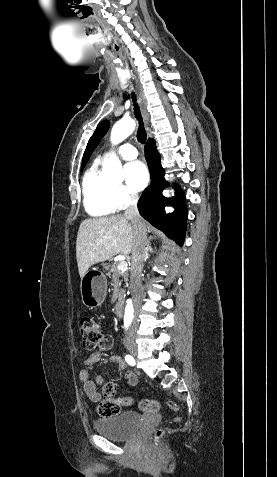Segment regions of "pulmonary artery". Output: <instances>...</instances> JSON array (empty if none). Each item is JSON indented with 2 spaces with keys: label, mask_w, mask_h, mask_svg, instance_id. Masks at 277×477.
Instances as JSON below:
<instances>
[{
  "label": "pulmonary artery",
  "mask_w": 277,
  "mask_h": 477,
  "mask_svg": "<svg viewBox=\"0 0 277 477\" xmlns=\"http://www.w3.org/2000/svg\"><path fill=\"white\" fill-rule=\"evenodd\" d=\"M117 153L124 159L130 160L135 159L138 155L137 150L130 144H123L117 149ZM110 152H105L101 159H106L109 156Z\"/></svg>",
  "instance_id": "pulmonary-artery-1"
}]
</instances>
